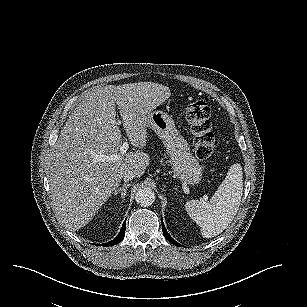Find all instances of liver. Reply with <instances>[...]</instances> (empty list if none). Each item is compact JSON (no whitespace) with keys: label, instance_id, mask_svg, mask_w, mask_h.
Masks as SVG:
<instances>
[{"label":"liver","instance_id":"obj_1","mask_svg":"<svg viewBox=\"0 0 307 307\" xmlns=\"http://www.w3.org/2000/svg\"><path fill=\"white\" fill-rule=\"evenodd\" d=\"M171 95L167 86L154 82L94 87L72 110L55 143L50 162L49 186L55 215L65 227L77 231L117 191L128 171L141 177L150 157L141 150L117 161H98L95 155L118 154L122 142L120 122L132 146L147 143L148 115Z\"/></svg>","mask_w":307,"mask_h":307}]
</instances>
